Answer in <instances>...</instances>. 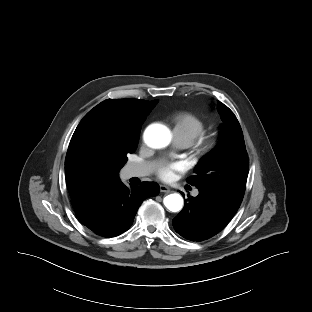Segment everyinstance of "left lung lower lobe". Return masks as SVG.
I'll return each instance as SVG.
<instances>
[{
    "instance_id": "0a47b994",
    "label": "left lung lower lobe",
    "mask_w": 312,
    "mask_h": 312,
    "mask_svg": "<svg viewBox=\"0 0 312 312\" xmlns=\"http://www.w3.org/2000/svg\"><path fill=\"white\" fill-rule=\"evenodd\" d=\"M186 202L173 219V227L191 241H203L219 233L240 207L225 195L208 189H199V195Z\"/></svg>"
}]
</instances>
